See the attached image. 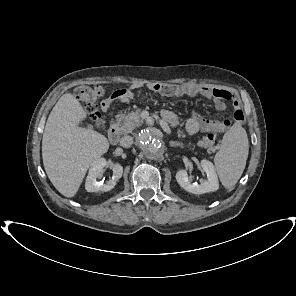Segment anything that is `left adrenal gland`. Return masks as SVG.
I'll return each mask as SVG.
<instances>
[{
	"instance_id": "1",
	"label": "left adrenal gland",
	"mask_w": 296,
	"mask_h": 296,
	"mask_svg": "<svg viewBox=\"0 0 296 296\" xmlns=\"http://www.w3.org/2000/svg\"><path fill=\"white\" fill-rule=\"evenodd\" d=\"M169 145H170L171 147H181V148H183V144H181V143H179V142H177V141H170V142H169Z\"/></svg>"
}]
</instances>
